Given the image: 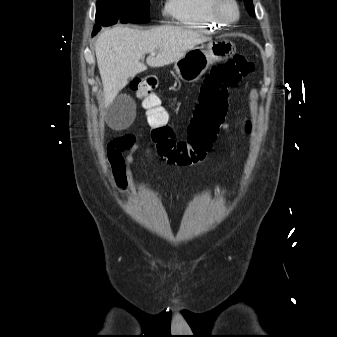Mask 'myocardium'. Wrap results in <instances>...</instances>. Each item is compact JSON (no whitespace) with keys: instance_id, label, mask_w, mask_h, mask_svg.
I'll return each instance as SVG.
<instances>
[{"instance_id":"obj_1","label":"myocardium","mask_w":337,"mask_h":337,"mask_svg":"<svg viewBox=\"0 0 337 337\" xmlns=\"http://www.w3.org/2000/svg\"><path fill=\"white\" fill-rule=\"evenodd\" d=\"M213 8L216 17L227 24L236 23L241 15L237 0H215Z\"/></svg>"}]
</instances>
